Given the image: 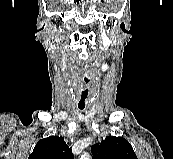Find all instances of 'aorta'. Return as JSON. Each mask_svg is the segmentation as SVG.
Masks as SVG:
<instances>
[{
	"label": "aorta",
	"instance_id": "1",
	"mask_svg": "<svg viewBox=\"0 0 173 159\" xmlns=\"http://www.w3.org/2000/svg\"><path fill=\"white\" fill-rule=\"evenodd\" d=\"M80 159H90V156H89L87 153H83V154L80 156Z\"/></svg>",
	"mask_w": 173,
	"mask_h": 159
}]
</instances>
